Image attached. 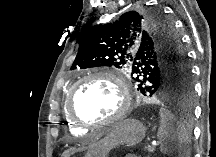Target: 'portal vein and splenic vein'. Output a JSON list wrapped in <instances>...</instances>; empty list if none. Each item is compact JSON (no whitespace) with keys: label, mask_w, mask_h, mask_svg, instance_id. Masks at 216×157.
I'll return each instance as SVG.
<instances>
[{"label":"portal vein and splenic vein","mask_w":216,"mask_h":157,"mask_svg":"<svg viewBox=\"0 0 216 157\" xmlns=\"http://www.w3.org/2000/svg\"><path fill=\"white\" fill-rule=\"evenodd\" d=\"M154 148H155V144L153 143V144L151 145V147L149 148V151H153Z\"/></svg>","instance_id":"portal-vein-and-splenic-vein-1"}]
</instances>
